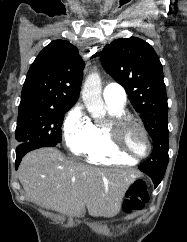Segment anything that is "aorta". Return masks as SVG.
Instances as JSON below:
<instances>
[{
	"label": "aorta",
	"mask_w": 187,
	"mask_h": 242,
	"mask_svg": "<svg viewBox=\"0 0 187 242\" xmlns=\"http://www.w3.org/2000/svg\"><path fill=\"white\" fill-rule=\"evenodd\" d=\"M101 78L98 73H92L86 78L82 99L88 112L95 120H101L106 115L105 105L101 96Z\"/></svg>",
	"instance_id": "762f6f07"
}]
</instances>
